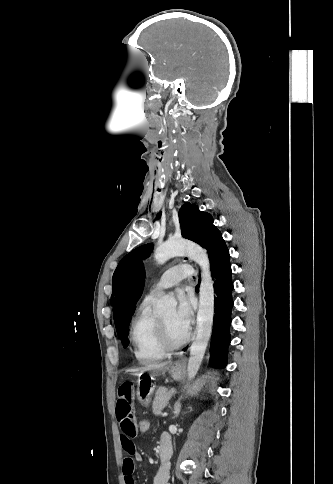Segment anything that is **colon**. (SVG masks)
<instances>
[{"mask_svg": "<svg viewBox=\"0 0 333 484\" xmlns=\"http://www.w3.org/2000/svg\"><path fill=\"white\" fill-rule=\"evenodd\" d=\"M151 421L147 418H140L138 421H137V430H138V434L140 435H144L146 433H148L151 429Z\"/></svg>", "mask_w": 333, "mask_h": 484, "instance_id": "obj_1", "label": "colon"}]
</instances>
